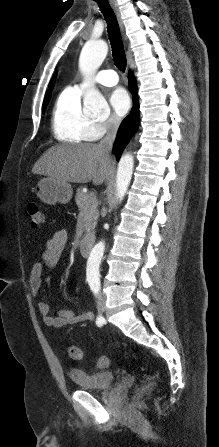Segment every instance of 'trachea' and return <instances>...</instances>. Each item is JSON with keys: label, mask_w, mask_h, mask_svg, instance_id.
Wrapping results in <instances>:
<instances>
[{"label": "trachea", "mask_w": 219, "mask_h": 447, "mask_svg": "<svg viewBox=\"0 0 219 447\" xmlns=\"http://www.w3.org/2000/svg\"><path fill=\"white\" fill-rule=\"evenodd\" d=\"M95 1L98 3L107 22L108 36L111 43L114 64L119 70L125 71L127 60L116 15L110 7L108 0Z\"/></svg>", "instance_id": "3493384b"}]
</instances>
